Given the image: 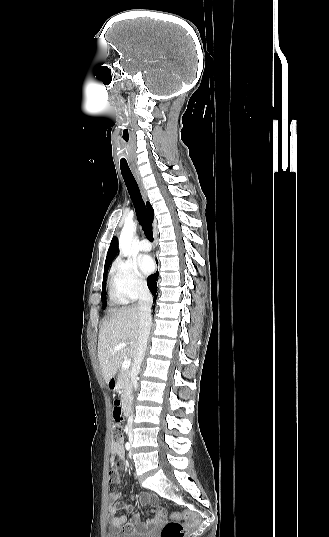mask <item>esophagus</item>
<instances>
[{
    "instance_id": "1",
    "label": "esophagus",
    "mask_w": 329,
    "mask_h": 537,
    "mask_svg": "<svg viewBox=\"0 0 329 537\" xmlns=\"http://www.w3.org/2000/svg\"><path fill=\"white\" fill-rule=\"evenodd\" d=\"M133 174H134V177H135V179L137 181V184L139 186V189H140V192L142 194L143 199L147 200V191H146V189L144 187V184H143V181H142V178H141L139 172L137 170L133 169Z\"/></svg>"
}]
</instances>
